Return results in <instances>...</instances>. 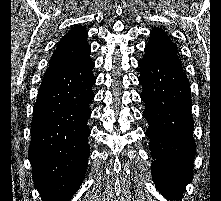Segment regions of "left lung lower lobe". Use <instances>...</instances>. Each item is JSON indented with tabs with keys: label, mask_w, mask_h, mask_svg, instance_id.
<instances>
[{
	"label": "left lung lower lobe",
	"mask_w": 221,
	"mask_h": 201,
	"mask_svg": "<svg viewBox=\"0 0 221 201\" xmlns=\"http://www.w3.org/2000/svg\"><path fill=\"white\" fill-rule=\"evenodd\" d=\"M143 87V117L149 127L152 177L158 191L171 200H181L192 180L196 144L191 115L189 81L181 68L144 56L138 61Z\"/></svg>",
	"instance_id": "left-lung-lower-lobe-1"
}]
</instances>
